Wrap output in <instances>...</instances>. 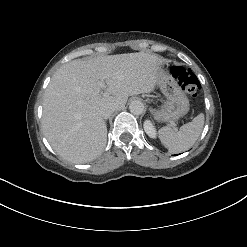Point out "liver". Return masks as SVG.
Wrapping results in <instances>:
<instances>
[{
	"mask_svg": "<svg viewBox=\"0 0 247 247\" xmlns=\"http://www.w3.org/2000/svg\"><path fill=\"white\" fill-rule=\"evenodd\" d=\"M160 68V60L144 52L64 64L51 78L43 97L42 125L51 147L70 162L95 159L107 143L101 109L110 105L123 108L129 96L152 92ZM101 88L112 96H102Z\"/></svg>",
	"mask_w": 247,
	"mask_h": 247,
	"instance_id": "liver-1",
	"label": "liver"
}]
</instances>
